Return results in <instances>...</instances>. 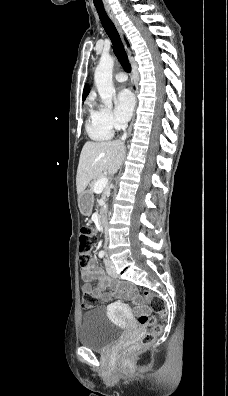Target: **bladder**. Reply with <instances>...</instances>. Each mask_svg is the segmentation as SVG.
Instances as JSON below:
<instances>
[{"label":"bladder","instance_id":"bladder-1","mask_svg":"<svg viewBox=\"0 0 228 396\" xmlns=\"http://www.w3.org/2000/svg\"><path fill=\"white\" fill-rule=\"evenodd\" d=\"M123 329L114 324L102 308L91 309L83 314L79 330L82 346L95 351H104L118 341Z\"/></svg>","mask_w":228,"mask_h":396}]
</instances>
